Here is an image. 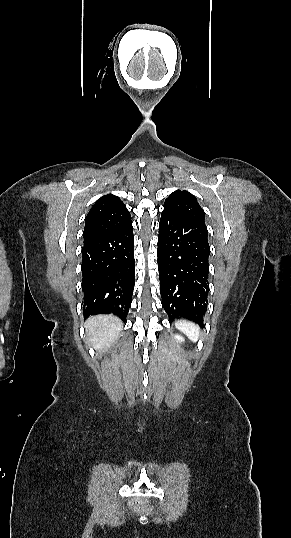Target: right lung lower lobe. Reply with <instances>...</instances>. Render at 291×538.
Wrapping results in <instances>:
<instances>
[{
  "instance_id": "right-lung-lower-lobe-1",
  "label": "right lung lower lobe",
  "mask_w": 291,
  "mask_h": 538,
  "mask_svg": "<svg viewBox=\"0 0 291 538\" xmlns=\"http://www.w3.org/2000/svg\"><path fill=\"white\" fill-rule=\"evenodd\" d=\"M132 221L84 239L82 248L83 315L114 314L125 319L135 282Z\"/></svg>"
}]
</instances>
